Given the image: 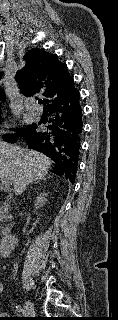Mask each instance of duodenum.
Instances as JSON below:
<instances>
[{"label":"duodenum","mask_w":118,"mask_h":320,"mask_svg":"<svg viewBox=\"0 0 118 320\" xmlns=\"http://www.w3.org/2000/svg\"><path fill=\"white\" fill-rule=\"evenodd\" d=\"M16 244L17 236L10 229H6L0 242V256L7 257Z\"/></svg>","instance_id":"1"}]
</instances>
